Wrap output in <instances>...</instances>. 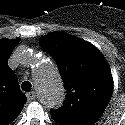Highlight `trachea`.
<instances>
[{"instance_id":"1","label":"trachea","mask_w":125,"mask_h":125,"mask_svg":"<svg viewBox=\"0 0 125 125\" xmlns=\"http://www.w3.org/2000/svg\"><path fill=\"white\" fill-rule=\"evenodd\" d=\"M21 88H22V90H24L26 92H29L31 90V88H32V84L29 81H24L21 84Z\"/></svg>"}]
</instances>
